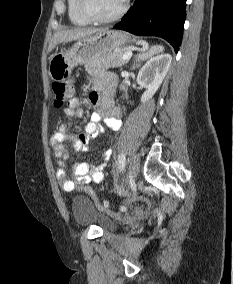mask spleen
I'll use <instances>...</instances> for the list:
<instances>
[{"label": "spleen", "instance_id": "spleen-1", "mask_svg": "<svg viewBox=\"0 0 233 284\" xmlns=\"http://www.w3.org/2000/svg\"><path fill=\"white\" fill-rule=\"evenodd\" d=\"M163 47L162 46H153V47H151V49L147 52V53H145V54H142V55H139V58H141V59H147L148 57H151L152 55H154V54H157V53H159V52H162L163 51Z\"/></svg>", "mask_w": 233, "mask_h": 284}]
</instances>
